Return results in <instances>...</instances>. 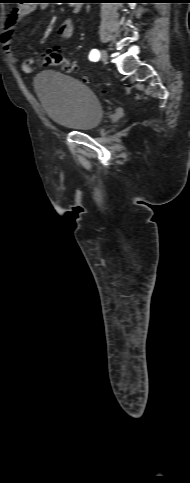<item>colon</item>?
I'll use <instances>...</instances> for the list:
<instances>
[{"mask_svg": "<svg viewBox=\"0 0 190 483\" xmlns=\"http://www.w3.org/2000/svg\"><path fill=\"white\" fill-rule=\"evenodd\" d=\"M44 62L48 66L60 67L64 72H75L77 70L76 65L70 60L63 57L58 51H48L44 55ZM86 81H89L87 76L84 77Z\"/></svg>", "mask_w": 190, "mask_h": 483, "instance_id": "colon-1", "label": "colon"}]
</instances>
